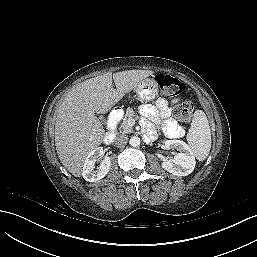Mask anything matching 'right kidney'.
<instances>
[{"instance_id":"1","label":"right kidney","mask_w":257,"mask_h":257,"mask_svg":"<svg viewBox=\"0 0 257 257\" xmlns=\"http://www.w3.org/2000/svg\"><path fill=\"white\" fill-rule=\"evenodd\" d=\"M103 154V148L98 147L91 151L85 159L82 176L88 182H96L104 178L109 172L111 166V159L105 158L100 166L95 170L96 159Z\"/></svg>"}]
</instances>
